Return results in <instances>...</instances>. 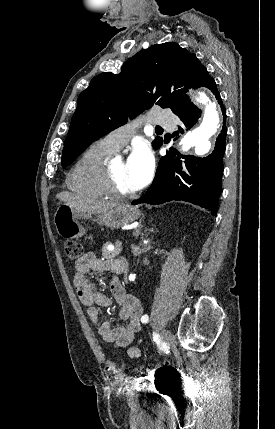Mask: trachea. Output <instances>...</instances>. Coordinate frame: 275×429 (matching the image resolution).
I'll return each mask as SVG.
<instances>
[{"instance_id":"trachea-1","label":"trachea","mask_w":275,"mask_h":429,"mask_svg":"<svg viewBox=\"0 0 275 429\" xmlns=\"http://www.w3.org/2000/svg\"><path fill=\"white\" fill-rule=\"evenodd\" d=\"M157 130H159V131H163V129H162V128H158Z\"/></svg>"}]
</instances>
